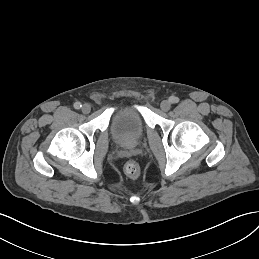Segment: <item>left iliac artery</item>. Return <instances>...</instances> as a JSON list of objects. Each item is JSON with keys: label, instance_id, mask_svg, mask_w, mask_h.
I'll list each match as a JSON object with an SVG mask.
<instances>
[{"label": "left iliac artery", "instance_id": "left-iliac-artery-1", "mask_svg": "<svg viewBox=\"0 0 259 259\" xmlns=\"http://www.w3.org/2000/svg\"><path fill=\"white\" fill-rule=\"evenodd\" d=\"M169 101H170L171 103H178V102H179V98H178V97H175V96H171V97L169 98Z\"/></svg>", "mask_w": 259, "mask_h": 259}]
</instances>
